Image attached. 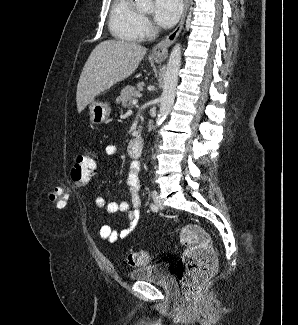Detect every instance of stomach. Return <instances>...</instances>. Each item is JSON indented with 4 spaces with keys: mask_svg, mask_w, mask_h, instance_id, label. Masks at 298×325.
Segmentation results:
<instances>
[{
    "mask_svg": "<svg viewBox=\"0 0 298 325\" xmlns=\"http://www.w3.org/2000/svg\"><path fill=\"white\" fill-rule=\"evenodd\" d=\"M152 62H157V64H160V62H163L164 58H155V56H151ZM89 118L93 124H101V122H105L107 118H109L111 114V106L110 102H102V100H92L90 102L89 106Z\"/></svg>",
    "mask_w": 298,
    "mask_h": 325,
    "instance_id": "0dacf381",
    "label": "stomach"
}]
</instances>
